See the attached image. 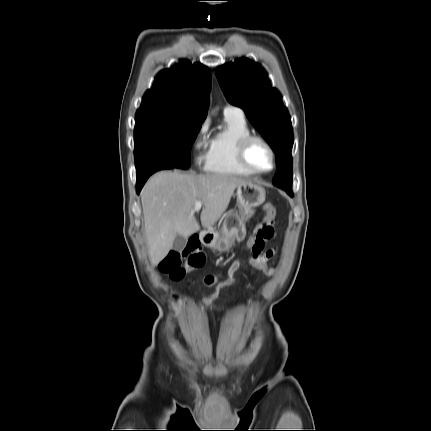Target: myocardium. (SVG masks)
<instances>
[{
	"label": "myocardium",
	"mask_w": 431,
	"mask_h": 431,
	"mask_svg": "<svg viewBox=\"0 0 431 431\" xmlns=\"http://www.w3.org/2000/svg\"><path fill=\"white\" fill-rule=\"evenodd\" d=\"M254 141H259L261 143H263L266 148L269 150L270 154H271V158H272V165L270 167V169L268 170H260L256 167H254L247 158V151L248 148L250 146V144ZM237 158L238 161L240 162V164L246 168L247 170H249L250 172L254 173V174H267L272 172L275 167H276V153L274 148L272 147V145L262 136L259 135H247L244 138H242L237 146Z\"/></svg>",
	"instance_id": "obj_1"
}]
</instances>
